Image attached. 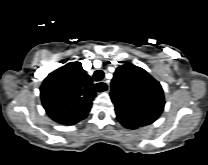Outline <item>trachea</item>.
Returning <instances> with one entry per match:
<instances>
[{
	"mask_svg": "<svg viewBox=\"0 0 208 165\" xmlns=\"http://www.w3.org/2000/svg\"><path fill=\"white\" fill-rule=\"evenodd\" d=\"M103 78H104V72L102 70H97V71L94 72V74H93L94 81H101ZM95 89L98 92H103V91L106 90V87H104L100 84H96Z\"/></svg>",
	"mask_w": 208,
	"mask_h": 165,
	"instance_id": "1",
	"label": "trachea"
}]
</instances>
